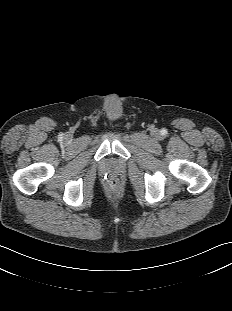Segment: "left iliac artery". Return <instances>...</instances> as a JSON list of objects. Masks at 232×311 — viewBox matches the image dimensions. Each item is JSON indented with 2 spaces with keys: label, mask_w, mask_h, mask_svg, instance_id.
<instances>
[{
  "label": "left iliac artery",
  "mask_w": 232,
  "mask_h": 311,
  "mask_svg": "<svg viewBox=\"0 0 232 311\" xmlns=\"http://www.w3.org/2000/svg\"><path fill=\"white\" fill-rule=\"evenodd\" d=\"M165 132H166V130L163 129V130H162V134H165Z\"/></svg>",
  "instance_id": "44dca946"
}]
</instances>
